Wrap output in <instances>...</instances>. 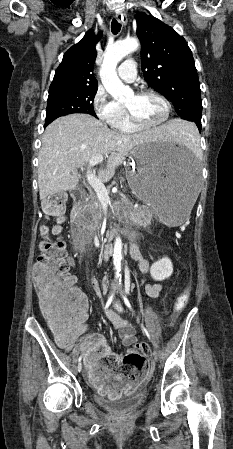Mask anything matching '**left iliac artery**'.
Returning a JSON list of instances; mask_svg holds the SVG:
<instances>
[{
	"label": "left iliac artery",
	"mask_w": 233,
	"mask_h": 449,
	"mask_svg": "<svg viewBox=\"0 0 233 449\" xmlns=\"http://www.w3.org/2000/svg\"><path fill=\"white\" fill-rule=\"evenodd\" d=\"M127 293H129V292H127ZM122 297H123L124 302H125V304L127 305V307H129L130 309H132L129 300L126 298V296L123 295V293H122ZM141 327H142L143 333L146 334V336L148 337V339H149L150 341H152V338H151L149 332L147 331V329L144 327L143 324H141Z\"/></svg>",
	"instance_id": "44dca946"
}]
</instances>
